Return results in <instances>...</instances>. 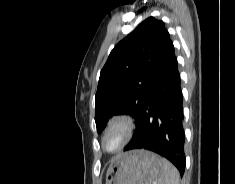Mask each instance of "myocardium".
<instances>
[{"label": "myocardium", "instance_id": "1", "mask_svg": "<svg viewBox=\"0 0 235 184\" xmlns=\"http://www.w3.org/2000/svg\"><path fill=\"white\" fill-rule=\"evenodd\" d=\"M136 128H137L136 119L132 115L128 113H123V112L113 115L108 121L105 128L103 129L102 134L100 136L101 150L105 154H108V155L119 154L125 148V146L131 141V139L134 137ZM114 129H119L121 132L120 143L115 151L107 152L103 148V140H104L105 135Z\"/></svg>", "mask_w": 235, "mask_h": 184}]
</instances>
